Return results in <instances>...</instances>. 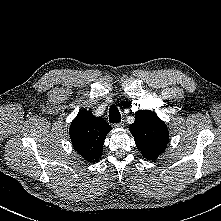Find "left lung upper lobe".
<instances>
[{"label": "left lung upper lobe", "instance_id": "left-lung-upper-lobe-1", "mask_svg": "<svg viewBox=\"0 0 221 221\" xmlns=\"http://www.w3.org/2000/svg\"><path fill=\"white\" fill-rule=\"evenodd\" d=\"M137 148L143 157L155 160L165 151L169 143V132L165 123L149 110H139L135 113V121L129 128Z\"/></svg>", "mask_w": 221, "mask_h": 221}]
</instances>
